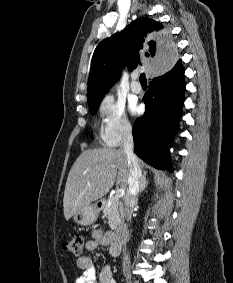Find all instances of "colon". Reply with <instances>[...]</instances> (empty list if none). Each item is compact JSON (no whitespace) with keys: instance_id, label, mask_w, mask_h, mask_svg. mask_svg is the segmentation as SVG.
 <instances>
[{"instance_id":"5ec220e1","label":"colon","mask_w":233,"mask_h":283,"mask_svg":"<svg viewBox=\"0 0 233 283\" xmlns=\"http://www.w3.org/2000/svg\"><path fill=\"white\" fill-rule=\"evenodd\" d=\"M84 238L80 235H75L69 240L65 241L63 248L74 256H80L83 251Z\"/></svg>"}]
</instances>
